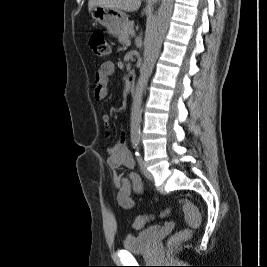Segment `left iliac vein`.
I'll return each instance as SVG.
<instances>
[{
	"instance_id": "obj_1",
	"label": "left iliac vein",
	"mask_w": 267,
	"mask_h": 267,
	"mask_svg": "<svg viewBox=\"0 0 267 267\" xmlns=\"http://www.w3.org/2000/svg\"><path fill=\"white\" fill-rule=\"evenodd\" d=\"M140 168H141V171L142 173L144 174V176L149 179V180H153V175L151 174V172L146 168L145 164H144V161L140 160Z\"/></svg>"
}]
</instances>
